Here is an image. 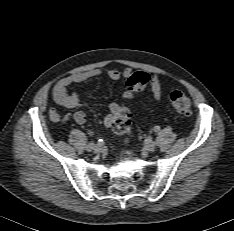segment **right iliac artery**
<instances>
[{
	"label": "right iliac artery",
	"instance_id": "right-iliac-artery-1",
	"mask_svg": "<svg viewBox=\"0 0 234 231\" xmlns=\"http://www.w3.org/2000/svg\"><path fill=\"white\" fill-rule=\"evenodd\" d=\"M95 144H94V142L92 141V142H90L89 144H88V146L89 147H93Z\"/></svg>",
	"mask_w": 234,
	"mask_h": 231
}]
</instances>
